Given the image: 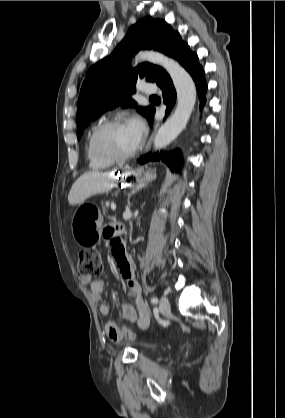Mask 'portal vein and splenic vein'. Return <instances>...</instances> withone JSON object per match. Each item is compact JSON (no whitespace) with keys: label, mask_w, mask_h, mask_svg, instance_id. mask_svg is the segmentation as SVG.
I'll use <instances>...</instances> for the list:
<instances>
[{"label":"portal vein and splenic vein","mask_w":285,"mask_h":418,"mask_svg":"<svg viewBox=\"0 0 285 418\" xmlns=\"http://www.w3.org/2000/svg\"><path fill=\"white\" fill-rule=\"evenodd\" d=\"M111 209L116 210V204L114 202L111 203Z\"/></svg>","instance_id":"18ae733b"}]
</instances>
